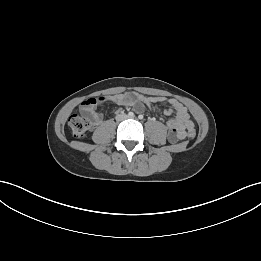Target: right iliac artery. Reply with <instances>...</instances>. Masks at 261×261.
I'll return each mask as SVG.
<instances>
[{
	"mask_svg": "<svg viewBox=\"0 0 261 261\" xmlns=\"http://www.w3.org/2000/svg\"><path fill=\"white\" fill-rule=\"evenodd\" d=\"M128 116H129V117H134V113H133V112H129V113H128Z\"/></svg>",
	"mask_w": 261,
	"mask_h": 261,
	"instance_id": "82829eb1",
	"label": "right iliac artery"
}]
</instances>
